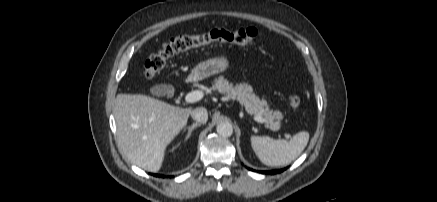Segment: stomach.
Returning <instances> with one entry per match:
<instances>
[{
  "instance_id": "stomach-1",
  "label": "stomach",
  "mask_w": 437,
  "mask_h": 202,
  "mask_svg": "<svg viewBox=\"0 0 437 202\" xmlns=\"http://www.w3.org/2000/svg\"><path fill=\"white\" fill-rule=\"evenodd\" d=\"M228 65L229 62L225 56L208 59L200 62L193 68L190 78L192 80H202L214 74L224 72L228 68Z\"/></svg>"
}]
</instances>
